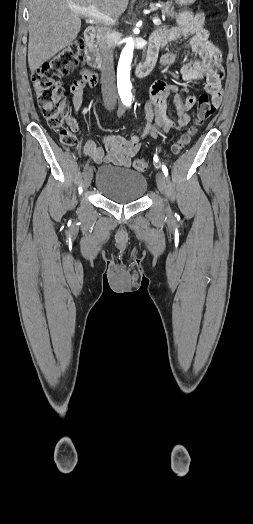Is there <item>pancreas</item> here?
Instances as JSON below:
<instances>
[{"label":"pancreas","instance_id":"1","mask_svg":"<svg viewBox=\"0 0 253 524\" xmlns=\"http://www.w3.org/2000/svg\"><path fill=\"white\" fill-rule=\"evenodd\" d=\"M160 6L163 9V14L164 15L170 16V17H175L176 16V13L174 12V7H172L171 4H169V3H161ZM151 8L152 9H157L158 7H157L156 4H151Z\"/></svg>","mask_w":253,"mask_h":524}]
</instances>
